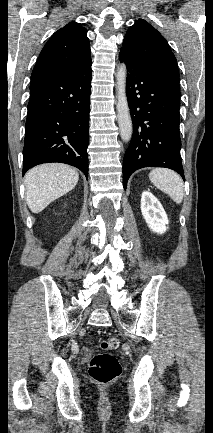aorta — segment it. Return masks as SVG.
<instances>
[{"label": "aorta", "mask_w": 213, "mask_h": 433, "mask_svg": "<svg viewBox=\"0 0 213 433\" xmlns=\"http://www.w3.org/2000/svg\"><path fill=\"white\" fill-rule=\"evenodd\" d=\"M127 70L124 63L120 64L116 73L117 120L121 139L128 142L133 134V124L126 96Z\"/></svg>", "instance_id": "obj_1"}]
</instances>
